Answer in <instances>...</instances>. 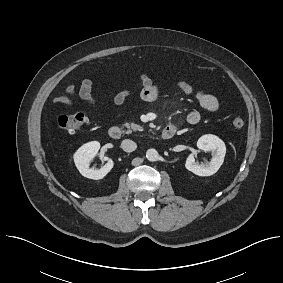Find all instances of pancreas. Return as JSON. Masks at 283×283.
Returning a JSON list of instances; mask_svg holds the SVG:
<instances>
[{"instance_id": "pancreas-1", "label": "pancreas", "mask_w": 283, "mask_h": 283, "mask_svg": "<svg viewBox=\"0 0 283 283\" xmlns=\"http://www.w3.org/2000/svg\"><path fill=\"white\" fill-rule=\"evenodd\" d=\"M128 130L126 131L127 134L131 133L132 131H141L143 128L137 124L134 123H124V125Z\"/></svg>"}]
</instances>
